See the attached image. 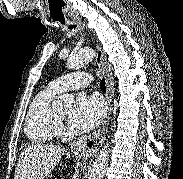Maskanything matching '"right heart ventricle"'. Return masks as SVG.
Returning <instances> with one entry per match:
<instances>
[{
  "instance_id": "right-heart-ventricle-1",
  "label": "right heart ventricle",
  "mask_w": 183,
  "mask_h": 179,
  "mask_svg": "<svg viewBox=\"0 0 183 179\" xmlns=\"http://www.w3.org/2000/svg\"><path fill=\"white\" fill-rule=\"evenodd\" d=\"M56 94L57 92L48 87L34 97L29 107L25 131L35 142H49L57 134V113L52 107V100Z\"/></svg>"
}]
</instances>
